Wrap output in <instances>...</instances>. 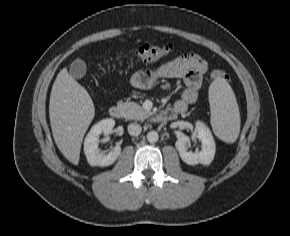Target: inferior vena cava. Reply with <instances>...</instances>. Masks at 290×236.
I'll return each mask as SVG.
<instances>
[{
	"label": "inferior vena cava",
	"instance_id": "1",
	"mask_svg": "<svg viewBox=\"0 0 290 236\" xmlns=\"http://www.w3.org/2000/svg\"><path fill=\"white\" fill-rule=\"evenodd\" d=\"M142 127L137 123H131L128 125V132L132 136H137L141 133Z\"/></svg>",
	"mask_w": 290,
	"mask_h": 236
}]
</instances>
